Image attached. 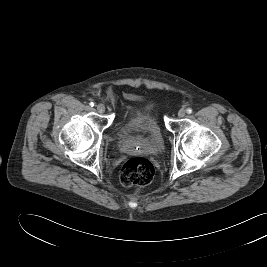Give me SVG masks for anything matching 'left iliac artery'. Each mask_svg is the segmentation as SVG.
<instances>
[{"instance_id":"44dca946","label":"left iliac artery","mask_w":267,"mask_h":267,"mask_svg":"<svg viewBox=\"0 0 267 267\" xmlns=\"http://www.w3.org/2000/svg\"><path fill=\"white\" fill-rule=\"evenodd\" d=\"M186 112H187L188 114H191V113H192V109H191V108H187V109H186Z\"/></svg>"}]
</instances>
